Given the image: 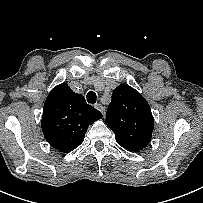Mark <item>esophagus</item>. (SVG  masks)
Wrapping results in <instances>:
<instances>
[{
    "mask_svg": "<svg viewBox=\"0 0 203 203\" xmlns=\"http://www.w3.org/2000/svg\"><path fill=\"white\" fill-rule=\"evenodd\" d=\"M95 108L100 111L102 114L104 113V107L101 104H95Z\"/></svg>",
    "mask_w": 203,
    "mask_h": 203,
    "instance_id": "34e87169",
    "label": "esophagus"
}]
</instances>
